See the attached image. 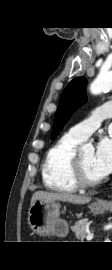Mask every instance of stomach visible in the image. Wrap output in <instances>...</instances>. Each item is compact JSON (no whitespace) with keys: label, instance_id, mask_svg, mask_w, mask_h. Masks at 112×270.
Instances as JSON below:
<instances>
[{"label":"stomach","instance_id":"obj_1","mask_svg":"<svg viewBox=\"0 0 112 270\" xmlns=\"http://www.w3.org/2000/svg\"><path fill=\"white\" fill-rule=\"evenodd\" d=\"M90 209L94 214H102L103 205L92 203ZM28 224L39 235L65 236L68 224L60 218V205L53 200H36L28 211Z\"/></svg>","mask_w":112,"mask_h":270}]
</instances>
